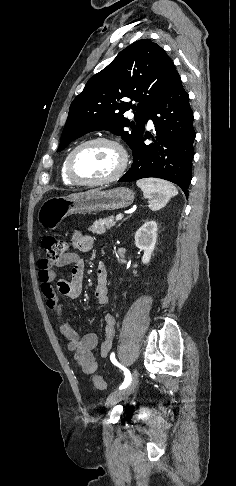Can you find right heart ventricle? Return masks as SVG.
Listing matches in <instances>:
<instances>
[{"label":"right heart ventricle","instance_id":"obj_1","mask_svg":"<svg viewBox=\"0 0 236 486\" xmlns=\"http://www.w3.org/2000/svg\"><path fill=\"white\" fill-rule=\"evenodd\" d=\"M68 155L64 159L62 166H61V179H62L63 183L66 184V185H74V183L70 181V179L67 177V174H66V161H67Z\"/></svg>","mask_w":236,"mask_h":486}]
</instances>
